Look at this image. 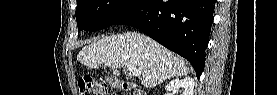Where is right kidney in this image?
Masks as SVG:
<instances>
[{"instance_id":"right-kidney-1","label":"right kidney","mask_w":277,"mask_h":95,"mask_svg":"<svg viewBox=\"0 0 277 95\" xmlns=\"http://www.w3.org/2000/svg\"><path fill=\"white\" fill-rule=\"evenodd\" d=\"M194 81L191 78H184V79H175L169 82L165 89L167 91L177 92L179 88L183 87L184 92L183 95H193V89H194Z\"/></svg>"}]
</instances>
